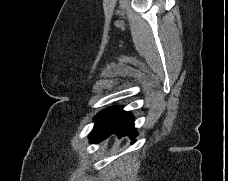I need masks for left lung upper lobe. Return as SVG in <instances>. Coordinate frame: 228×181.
<instances>
[{"mask_svg":"<svg viewBox=\"0 0 228 181\" xmlns=\"http://www.w3.org/2000/svg\"><path fill=\"white\" fill-rule=\"evenodd\" d=\"M126 113V111L122 110V107H112L110 109L103 110L99 115H97L98 119L93 129L115 126L121 122Z\"/></svg>","mask_w":228,"mask_h":181,"instance_id":"obj_1","label":"left lung upper lobe"}]
</instances>
